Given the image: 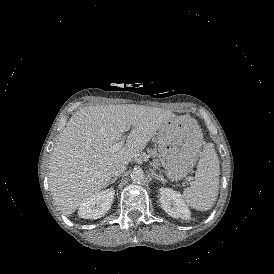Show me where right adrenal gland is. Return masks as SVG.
I'll return each mask as SVG.
<instances>
[{
  "label": "right adrenal gland",
  "mask_w": 274,
  "mask_h": 274,
  "mask_svg": "<svg viewBox=\"0 0 274 274\" xmlns=\"http://www.w3.org/2000/svg\"><path fill=\"white\" fill-rule=\"evenodd\" d=\"M116 181H117V179L114 178V179H112V180L110 181V183H115Z\"/></svg>",
  "instance_id": "obj_1"
}]
</instances>
